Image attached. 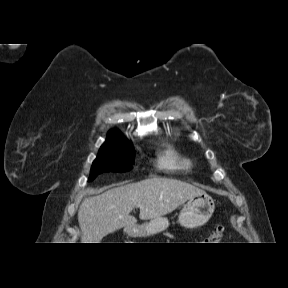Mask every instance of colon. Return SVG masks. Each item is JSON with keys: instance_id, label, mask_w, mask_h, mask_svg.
<instances>
[{"instance_id": "5ec220e1", "label": "colon", "mask_w": 288, "mask_h": 288, "mask_svg": "<svg viewBox=\"0 0 288 288\" xmlns=\"http://www.w3.org/2000/svg\"><path fill=\"white\" fill-rule=\"evenodd\" d=\"M224 235V227L223 226H217L214 233L208 238V242L213 244H218L221 242Z\"/></svg>"}]
</instances>
